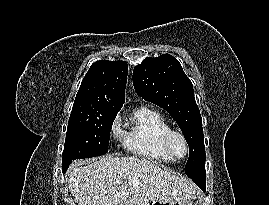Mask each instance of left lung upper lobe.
Returning <instances> with one entry per match:
<instances>
[{"label":"left lung upper lobe","instance_id":"left-lung-upper-lobe-1","mask_svg":"<svg viewBox=\"0 0 269 205\" xmlns=\"http://www.w3.org/2000/svg\"><path fill=\"white\" fill-rule=\"evenodd\" d=\"M133 84L139 96L162 107L176 120L189 145L185 172L192 179L194 173L205 169L206 156L193 85L181 64L169 54L147 57L134 68Z\"/></svg>","mask_w":269,"mask_h":205}]
</instances>
